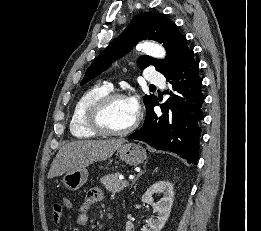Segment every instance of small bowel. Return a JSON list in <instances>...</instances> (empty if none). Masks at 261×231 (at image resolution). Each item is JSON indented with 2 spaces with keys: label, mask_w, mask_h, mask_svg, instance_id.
<instances>
[{
  "label": "small bowel",
  "mask_w": 261,
  "mask_h": 231,
  "mask_svg": "<svg viewBox=\"0 0 261 231\" xmlns=\"http://www.w3.org/2000/svg\"><path fill=\"white\" fill-rule=\"evenodd\" d=\"M105 200L104 194L100 189H91L84 202L78 209L75 216V223L78 226H85L88 224L89 217L88 212L93 204L101 203ZM63 206L61 204L54 205L53 208V222L60 224L62 222ZM54 231H61L60 227L54 229Z\"/></svg>",
  "instance_id": "c3829d8e"
}]
</instances>
